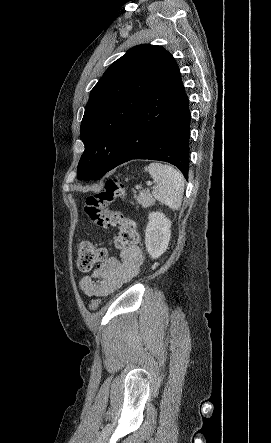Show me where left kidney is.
<instances>
[{"label":"left kidney","mask_w":271,"mask_h":443,"mask_svg":"<svg viewBox=\"0 0 271 443\" xmlns=\"http://www.w3.org/2000/svg\"><path fill=\"white\" fill-rule=\"evenodd\" d=\"M145 231L146 249L153 257H159L166 251L171 235V222L160 212H151Z\"/></svg>","instance_id":"left-kidney-1"}]
</instances>
